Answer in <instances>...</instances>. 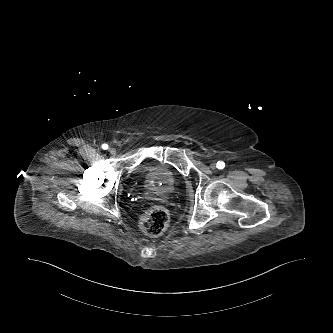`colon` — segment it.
Instances as JSON below:
<instances>
[{"label": "colon", "mask_w": 333, "mask_h": 333, "mask_svg": "<svg viewBox=\"0 0 333 333\" xmlns=\"http://www.w3.org/2000/svg\"><path fill=\"white\" fill-rule=\"evenodd\" d=\"M168 222V211L162 206H155L141 217L140 227L147 235L158 236L166 230Z\"/></svg>", "instance_id": "5ec220e1"}]
</instances>
